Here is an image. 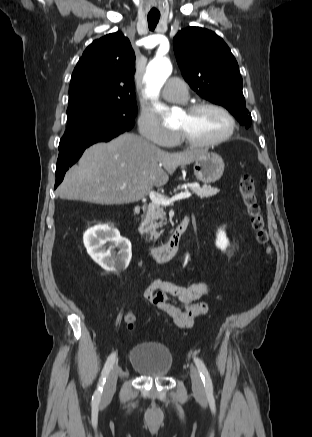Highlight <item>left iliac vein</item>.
<instances>
[{
  "mask_svg": "<svg viewBox=\"0 0 312 437\" xmlns=\"http://www.w3.org/2000/svg\"><path fill=\"white\" fill-rule=\"evenodd\" d=\"M190 377H191L192 389L194 394L199 398H204L205 391H204L203 382L199 375V372L194 367L190 368Z\"/></svg>",
  "mask_w": 312,
  "mask_h": 437,
  "instance_id": "4c4485c4",
  "label": "left iliac vein"
}]
</instances>
